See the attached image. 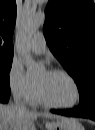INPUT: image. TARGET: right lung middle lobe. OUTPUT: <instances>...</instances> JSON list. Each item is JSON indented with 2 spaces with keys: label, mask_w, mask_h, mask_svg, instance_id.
<instances>
[{
  "label": "right lung middle lobe",
  "mask_w": 95,
  "mask_h": 130,
  "mask_svg": "<svg viewBox=\"0 0 95 130\" xmlns=\"http://www.w3.org/2000/svg\"><path fill=\"white\" fill-rule=\"evenodd\" d=\"M12 66V58L0 59V90H10L9 71Z\"/></svg>",
  "instance_id": "right-lung-middle-lobe-1"
}]
</instances>
